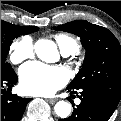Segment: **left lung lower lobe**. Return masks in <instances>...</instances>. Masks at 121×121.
<instances>
[{"label": "left lung lower lobe", "mask_w": 121, "mask_h": 121, "mask_svg": "<svg viewBox=\"0 0 121 121\" xmlns=\"http://www.w3.org/2000/svg\"><path fill=\"white\" fill-rule=\"evenodd\" d=\"M67 89L71 94L76 93L73 89ZM80 91L81 95L78 97L81 103L74 108L70 117L59 121H108L119 100L95 88H82Z\"/></svg>", "instance_id": "0a47b994"}]
</instances>
